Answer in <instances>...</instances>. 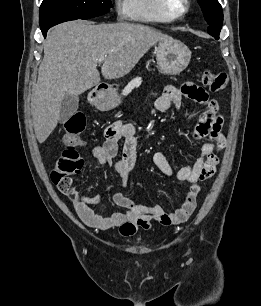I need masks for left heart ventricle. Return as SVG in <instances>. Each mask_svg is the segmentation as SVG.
Instances as JSON below:
<instances>
[{"mask_svg": "<svg viewBox=\"0 0 261 306\" xmlns=\"http://www.w3.org/2000/svg\"><path fill=\"white\" fill-rule=\"evenodd\" d=\"M171 5L174 9H179L182 4L180 0H171Z\"/></svg>", "mask_w": 261, "mask_h": 306, "instance_id": "b2bd125f", "label": "left heart ventricle"}]
</instances>
